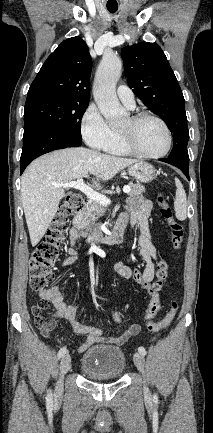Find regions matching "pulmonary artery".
Returning a JSON list of instances; mask_svg holds the SVG:
<instances>
[{"label":"pulmonary artery","instance_id":"e3ab8cb5","mask_svg":"<svg viewBox=\"0 0 213 433\" xmlns=\"http://www.w3.org/2000/svg\"><path fill=\"white\" fill-rule=\"evenodd\" d=\"M117 96L119 100L129 109H133L135 107L134 93L128 86H118Z\"/></svg>","mask_w":213,"mask_h":433}]
</instances>
